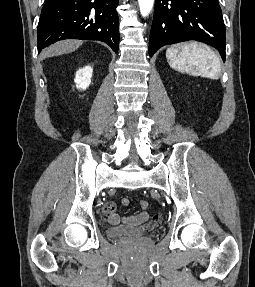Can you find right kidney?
Wrapping results in <instances>:
<instances>
[{"label": "right kidney", "mask_w": 255, "mask_h": 287, "mask_svg": "<svg viewBox=\"0 0 255 287\" xmlns=\"http://www.w3.org/2000/svg\"><path fill=\"white\" fill-rule=\"evenodd\" d=\"M92 72L91 66H85V68H80V70L76 72L75 82L77 88H80V90H86V88H88L89 84H91Z\"/></svg>", "instance_id": "ca27d5eb"}]
</instances>
